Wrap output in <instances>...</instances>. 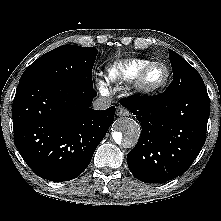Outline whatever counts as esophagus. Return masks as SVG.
<instances>
[{"instance_id": "obj_1", "label": "esophagus", "mask_w": 221, "mask_h": 221, "mask_svg": "<svg viewBox=\"0 0 221 221\" xmlns=\"http://www.w3.org/2000/svg\"><path fill=\"white\" fill-rule=\"evenodd\" d=\"M129 114H130L129 111L122 106H118L116 109L117 116H129Z\"/></svg>"}]
</instances>
